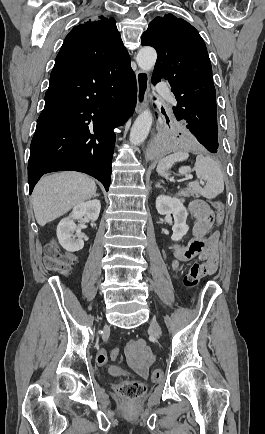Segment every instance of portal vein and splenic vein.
Listing matches in <instances>:
<instances>
[{"mask_svg": "<svg viewBox=\"0 0 265 434\" xmlns=\"http://www.w3.org/2000/svg\"><path fill=\"white\" fill-rule=\"evenodd\" d=\"M193 176H187L186 180H192ZM201 184H204V182H201Z\"/></svg>", "mask_w": 265, "mask_h": 434, "instance_id": "1", "label": "portal vein and splenic vein"}]
</instances>
